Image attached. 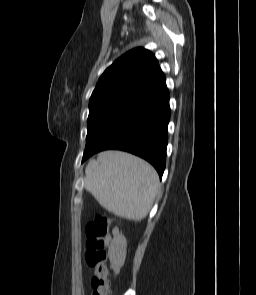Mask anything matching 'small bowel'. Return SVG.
I'll list each match as a JSON object with an SVG mask.
<instances>
[{
	"mask_svg": "<svg viewBox=\"0 0 256 295\" xmlns=\"http://www.w3.org/2000/svg\"><path fill=\"white\" fill-rule=\"evenodd\" d=\"M110 260L115 268H119L125 259L126 240L117 230H114L111 237L106 238Z\"/></svg>",
	"mask_w": 256,
	"mask_h": 295,
	"instance_id": "obj_1",
	"label": "small bowel"
}]
</instances>
